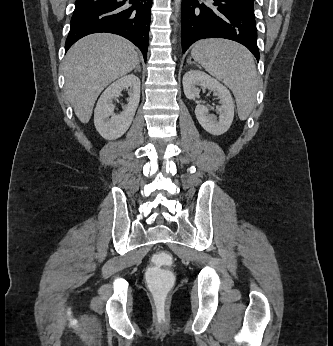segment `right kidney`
I'll return each instance as SVG.
<instances>
[{"label": "right kidney", "mask_w": 333, "mask_h": 346, "mask_svg": "<svg viewBox=\"0 0 333 346\" xmlns=\"http://www.w3.org/2000/svg\"><path fill=\"white\" fill-rule=\"evenodd\" d=\"M127 89L129 101L123 112L115 115L113 101ZM140 100V79L129 74L112 83L99 98L94 111V124L100 135L113 140L121 137L130 127Z\"/></svg>", "instance_id": "1"}]
</instances>
